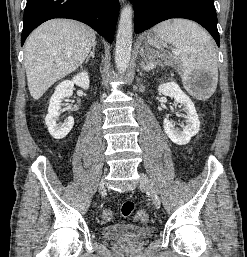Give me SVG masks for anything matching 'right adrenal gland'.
Wrapping results in <instances>:
<instances>
[{
    "instance_id": "2a0ac1e0",
    "label": "right adrenal gland",
    "mask_w": 247,
    "mask_h": 257,
    "mask_svg": "<svg viewBox=\"0 0 247 257\" xmlns=\"http://www.w3.org/2000/svg\"><path fill=\"white\" fill-rule=\"evenodd\" d=\"M96 42L94 43V45H93V48H92V51L90 52V54L87 56V58H86V60H85V63H88V61H89V59L92 57V58H94L95 56H94V51H95V48H96Z\"/></svg>"
}]
</instances>
